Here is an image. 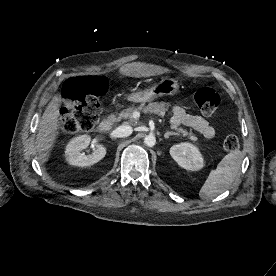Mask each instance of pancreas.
Returning <instances> with one entry per match:
<instances>
[{
  "label": "pancreas",
  "mask_w": 276,
  "mask_h": 276,
  "mask_svg": "<svg viewBox=\"0 0 276 276\" xmlns=\"http://www.w3.org/2000/svg\"><path fill=\"white\" fill-rule=\"evenodd\" d=\"M169 104L166 102H153L149 103L147 106L144 104L139 105L138 107L131 106L127 109L121 111L117 118L115 119L116 122L121 121L122 119H128V124L136 125L137 119L133 118V113L135 111H143L144 113H154L159 116H164L165 112L168 110ZM172 129L176 130L178 135L182 134L183 136H187L190 140H196L197 137L192 133L188 132L183 128H178L176 125L171 126Z\"/></svg>",
  "instance_id": "pancreas-1"
}]
</instances>
